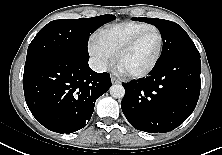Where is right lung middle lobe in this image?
Instances as JSON below:
<instances>
[{
    "instance_id": "obj_1",
    "label": "right lung middle lobe",
    "mask_w": 222,
    "mask_h": 155,
    "mask_svg": "<svg viewBox=\"0 0 222 155\" xmlns=\"http://www.w3.org/2000/svg\"><path fill=\"white\" fill-rule=\"evenodd\" d=\"M114 19V15L106 14L92 18L51 21L30 43L25 67L59 56L89 59L87 43L90 34Z\"/></svg>"
}]
</instances>
